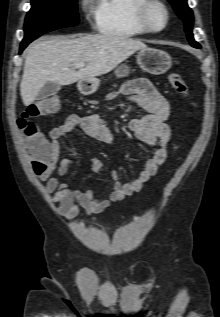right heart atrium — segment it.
I'll list each match as a JSON object with an SVG mask.
<instances>
[{
  "label": "right heart atrium",
  "mask_w": 220,
  "mask_h": 317,
  "mask_svg": "<svg viewBox=\"0 0 220 317\" xmlns=\"http://www.w3.org/2000/svg\"><path fill=\"white\" fill-rule=\"evenodd\" d=\"M79 6L82 12L85 14H89L90 11V0H80L79 1Z\"/></svg>",
  "instance_id": "right-heart-atrium-1"
}]
</instances>
